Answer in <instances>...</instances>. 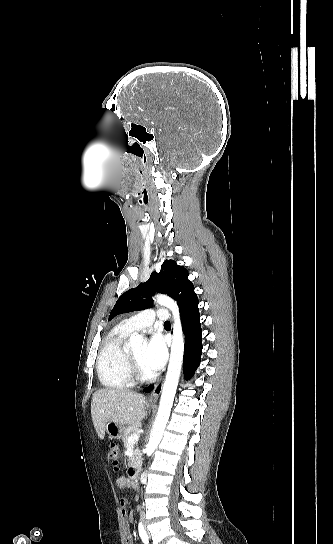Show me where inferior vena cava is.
Instances as JSON below:
<instances>
[{"instance_id":"602c4592","label":"inferior vena cava","mask_w":333,"mask_h":544,"mask_svg":"<svg viewBox=\"0 0 333 544\" xmlns=\"http://www.w3.org/2000/svg\"><path fill=\"white\" fill-rule=\"evenodd\" d=\"M139 511H140V514H143V512L141 511V509L139 508Z\"/></svg>"}]
</instances>
